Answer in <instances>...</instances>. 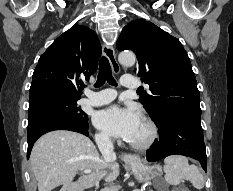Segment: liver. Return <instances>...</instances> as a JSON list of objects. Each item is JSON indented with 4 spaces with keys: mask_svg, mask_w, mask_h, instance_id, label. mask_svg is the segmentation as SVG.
Wrapping results in <instances>:
<instances>
[{
    "mask_svg": "<svg viewBox=\"0 0 233 191\" xmlns=\"http://www.w3.org/2000/svg\"><path fill=\"white\" fill-rule=\"evenodd\" d=\"M31 168L38 182V191H84L100 180L113 181L119 174L116 162L100 158L93 142L86 136L68 130H54L40 137L30 156ZM90 174L73 182L78 171Z\"/></svg>",
    "mask_w": 233,
    "mask_h": 191,
    "instance_id": "obj_1",
    "label": "liver"
}]
</instances>
